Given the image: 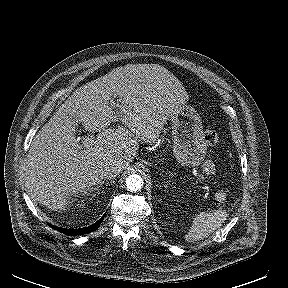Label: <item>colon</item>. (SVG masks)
Segmentation results:
<instances>
[{
  "instance_id": "5ec220e1",
  "label": "colon",
  "mask_w": 288,
  "mask_h": 288,
  "mask_svg": "<svg viewBox=\"0 0 288 288\" xmlns=\"http://www.w3.org/2000/svg\"><path fill=\"white\" fill-rule=\"evenodd\" d=\"M204 141L208 146L215 147L219 143V136L218 133L213 130L209 129L205 132Z\"/></svg>"
}]
</instances>
